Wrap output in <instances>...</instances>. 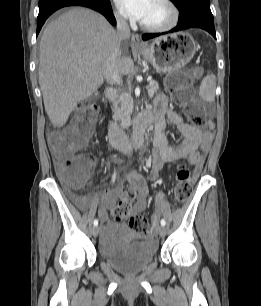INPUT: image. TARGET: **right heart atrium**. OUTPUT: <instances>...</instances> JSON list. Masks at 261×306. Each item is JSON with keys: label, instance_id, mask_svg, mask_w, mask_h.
<instances>
[{"label": "right heart atrium", "instance_id": "d8ad5b80", "mask_svg": "<svg viewBox=\"0 0 261 306\" xmlns=\"http://www.w3.org/2000/svg\"><path fill=\"white\" fill-rule=\"evenodd\" d=\"M117 21H118L120 24H124V23H125L124 19H123L119 14L117 15Z\"/></svg>", "mask_w": 261, "mask_h": 306}]
</instances>
